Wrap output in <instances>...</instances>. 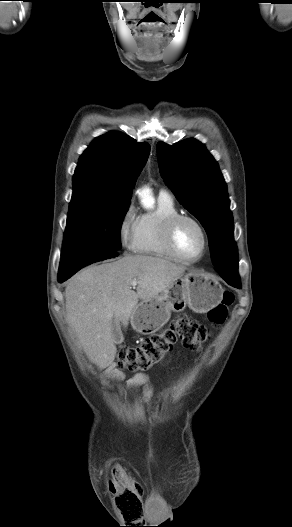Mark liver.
<instances>
[{"instance_id": "6515ba94", "label": "liver", "mask_w": 292, "mask_h": 527, "mask_svg": "<svg viewBox=\"0 0 292 527\" xmlns=\"http://www.w3.org/2000/svg\"><path fill=\"white\" fill-rule=\"evenodd\" d=\"M185 270L163 258L127 255L73 276L65 289L66 321L87 357L100 369L111 365L116 355L113 321L126 328L139 300L158 296ZM133 280L138 282L136 291Z\"/></svg>"}]
</instances>
